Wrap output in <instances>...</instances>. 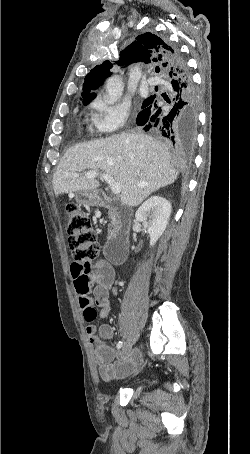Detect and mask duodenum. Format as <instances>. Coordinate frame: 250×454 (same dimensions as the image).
<instances>
[{
  "mask_svg": "<svg viewBox=\"0 0 250 454\" xmlns=\"http://www.w3.org/2000/svg\"><path fill=\"white\" fill-rule=\"evenodd\" d=\"M97 203L101 207L109 208L113 217V228L106 245V257L111 263L120 265L127 256L131 212L122 205L114 204L113 200L105 194L99 195Z\"/></svg>",
  "mask_w": 250,
  "mask_h": 454,
  "instance_id": "1",
  "label": "duodenum"
}]
</instances>
